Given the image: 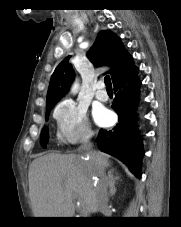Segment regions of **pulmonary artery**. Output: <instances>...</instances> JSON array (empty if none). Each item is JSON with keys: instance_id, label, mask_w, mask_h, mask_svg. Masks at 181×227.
<instances>
[{"instance_id": "e3ab8cb5", "label": "pulmonary artery", "mask_w": 181, "mask_h": 227, "mask_svg": "<svg viewBox=\"0 0 181 227\" xmlns=\"http://www.w3.org/2000/svg\"><path fill=\"white\" fill-rule=\"evenodd\" d=\"M95 97L102 102H106L108 100V94L107 92L104 90V82L103 81H99L97 83V89L95 91Z\"/></svg>"}]
</instances>
